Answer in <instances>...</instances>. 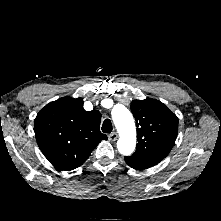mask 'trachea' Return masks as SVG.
<instances>
[{"mask_svg":"<svg viewBox=\"0 0 221 221\" xmlns=\"http://www.w3.org/2000/svg\"><path fill=\"white\" fill-rule=\"evenodd\" d=\"M113 127H112V123L109 119H105L103 124H102V131L104 133H110L112 132Z\"/></svg>","mask_w":221,"mask_h":221,"instance_id":"obj_1","label":"trachea"}]
</instances>
